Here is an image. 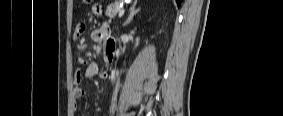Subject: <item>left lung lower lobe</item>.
Instances as JSON below:
<instances>
[{
	"label": "left lung lower lobe",
	"instance_id": "obj_1",
	"mask_svg": "<svg viewBox=\"0 0 283 116\" xmlns=\"http://www.w3.org/2000/svg\"><path fill=\"white\" fill-rule=\"evenodd\" d=\"M182 0H176L177 4L180 5Z\"/></svg>",
	"mask_w": 283,
	"mask_h": 116
}]
</instances>
